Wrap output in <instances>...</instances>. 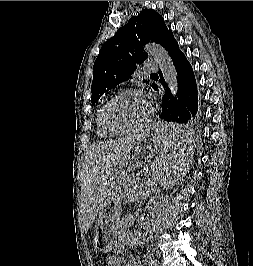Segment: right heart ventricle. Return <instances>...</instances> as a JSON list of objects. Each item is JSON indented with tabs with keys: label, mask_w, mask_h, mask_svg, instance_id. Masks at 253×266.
Here are the masks:
<instances>
[{
	"label": "right heart ventricle",
	"mask_w": 253,
	"mask_h": 266,
	"mask_svg": "<svg viewBox=\"0 0 253 266\" xmlns=\"http://www.w3.org/2000/svg\"><path fill=\"white\" fill-rule=\"evenodd\" d=\"M103 106V105H102ZM102 106L101 108L99 109L98 113H97V116H96V133H97V136L101 139H105V138H110L112 137L113 135H110L108 133H106L102 127H101V124H100V112H101V109H102Z\"/></svg>",
	"instance_id": "obj_1"
}]
</instances>
